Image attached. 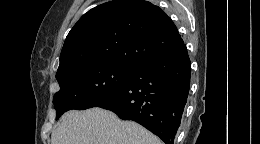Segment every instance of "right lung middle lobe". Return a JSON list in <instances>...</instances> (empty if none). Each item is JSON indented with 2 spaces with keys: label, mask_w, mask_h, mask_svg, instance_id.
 Segmentation results:
<instances>
[{
  "label": "right lung middle lobe",
  "mask_w": 260,
  "mask_h": 144,
  "mask_svg": "<svg viewBox=\"0 0 260 144\" xmlns=\"http://www.w3.org/2000/svg\"><path fill=\"white\" fill-rule=\"evenodd\" d=\"M132 69L104 64L56 76L60 85L53 98L56 120L68 110L88 109L107 99L123 86Z\"/></svg>",
  "instance_id": "dd1d6c3e"
}]
</instances>
